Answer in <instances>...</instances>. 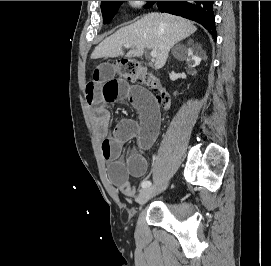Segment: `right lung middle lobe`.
Listing matches in <instances>:
<instances>
[{"label":"right lung middle lobe","instance_id":"obj_1","mask_svg":"<svg viewBox=\"0 0 271 266\" xmlns=\"http://www.w3.org/2000/svg\"><path fill=\"white\" fill-rule=\"evenodd\" d=\"M123 1H102L101 2V11L103 15V23H108L118 11L119 6L122 4ZM156 1H148L146 7L151 6Z\"/></svg>","mask_w":271,"mask_h":266}]
</instances>
